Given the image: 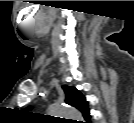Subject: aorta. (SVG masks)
<instances>
[{
	"label": "aorta",
	"instance_id": "1",
	"mask_svg": "<svg viewBox=\"0 0 134 123\" xmlns=\"http://www.w3.org/2000/svg\"><path fill=\"white\" fill-rule=\"evenodd\" d=\"M48 113L55 117L67 118L72 120L81 119V115L76 109L65 105H51L48 108Z\"/></svg>",
	"mask_w": 134,
	"mask_h": 123
}]
</instances>
